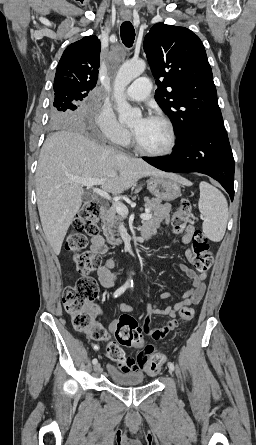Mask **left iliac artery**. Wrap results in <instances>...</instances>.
Returning a JSON list of instances; mask_svg holds the SVG:
<instances>
[{
  "label": "left iliac artery",
  "instance_id": "left-iliac-artery-1",
  "mask_svg": "<svg viewBox=\"0 0 256 445\" xmlns=\"http://www.w3.org/2000/svg\"><path fill=\"white\" fill-rule=\"evenodd\" d=\"M168 367H169L171 370H174V363L169 362V363H168Z\"/></svg>",
  "mask_w": 256,
  "mask_h": 445
}]
</instances>
